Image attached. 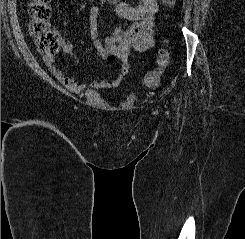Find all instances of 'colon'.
Instances as JSON below:
<instances>
[{"label": "colon", "instance_id": "colon-1", "mask_svg": "<svg viewBox=\"0 0 245 239\" xmlns=\"http://www.w3.org/2000/svg\"><path fill=\"white\" fill-rule=\"evenodd\" d=\"M166 8L174 6L175 0H163ZM29 33L33 37L39 53L54 55L60 48L61 38L58 33L48 27V22L52 16L50 0H33L28 6ZM170 51L168 47L160 50L155 69L148 72L142 80L147 88L159 86L161 77L165 69L170 64Z\"/></svg>", "mask_w": 245, "mask_h": 239}]
</instances>
